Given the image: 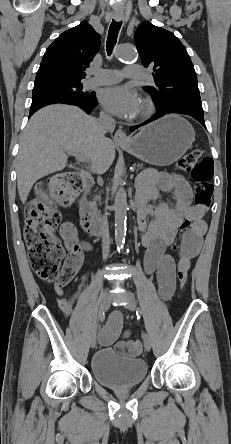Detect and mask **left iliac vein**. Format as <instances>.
I'll use <instances>...</instances> for the list:
<instances>
[{
    "mask_svg": "<svg viewBox=\"0 0 231 444\" xmlns=\"http://www.w3.org/2000/svg\"><path fill=\"white\" fill-rule=\"evenodd\" d=\"M124 299L126 301V308L129 311H135L136 310V304L134 302L133 295L127 289L124 292ZM143 343H144L145 350L146 351H150L151 347H152V343H151V339H150V337H149V335L147 333L143 334Z\"/></svg>",
    "mask_w": 231,
    "mask_h": 444,
    "instance_id": "left-iliac-vein-1",
    "label": "left iliac vein"
}]
</instances>
